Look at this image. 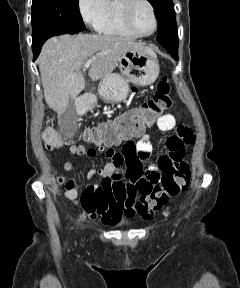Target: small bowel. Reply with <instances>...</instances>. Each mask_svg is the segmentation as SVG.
<instances>
[{"mask_svg":"<svg viewBox=\"0 0 240 288\" xmlns=\"http://www.w3.org/2000/svg\"><path fill=\"white\" fill-rule=\"evenodd\" d=\"M132 93L136 90L133 89ZM156 125L161 131H174L165 141L167 152L159 156L156 165L144 169L143 164L152 153V145L143 131L116 140L94 142L99 152L110 161L102 169H91L87 177L99 176L103 181L85 188L79 200L78 190L67 192V198L80 205L91 218H99L106 225L113 226L124 217H133L137 199L160 184L163 175L174 173L184 158L186 146L195 142L192 129L179 125L172 114L160 116ZM135 138L138 141H134ZM122 141V150L118 152L114 146ZM69 152L72 156L96 155L94 148L84 145H71ZM63 168L72 171L74 164L66 161Z\"/></svg>","mask_w":240,"mask_h":288,"instance_id":"1","label":"small bowel"}]
</instances>
